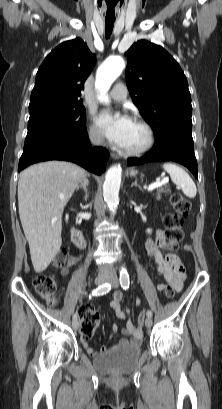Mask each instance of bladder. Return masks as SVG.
Instances as JSON below:
<instances>
[{"label":"bladder","mask_w":222,"mask_h":409,"mask_svg":"<svg viewBox=\"0 0 222 409\" xmlns=\"http://www.w3.org/2000/svg\"><path fill=\"white\" fill-rule=\"evenodd\" d=\"M141 355L138 344L116 345L106 353L96 356L93 360L94 368L102 374H128L132 372Z\"/></svg>","instance_id":"bladder-1"}]
</instances>
